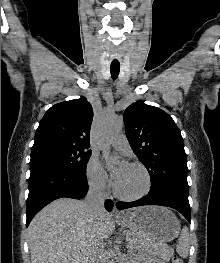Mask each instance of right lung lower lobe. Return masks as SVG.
<instances>
[{
	"mask_svg": "<svg viewBox=\"0 0 220 263\" xmlns=\"http://www.w3.org/2000/svg\"><path fill=\"white\" fill-rule=\"evenodd\" d=\"M27 221L55 199L69 197L82 199L88 191L86 173H76L47 163L30 164ZM105 207L111 211L113 202L107 200Z\"/></svg>",
	"mask_w": 220,
	"mask_h": 263,
	"instance_id": "98d812e1",
	"label": "right lung lower lobe"
}]
</instances>
